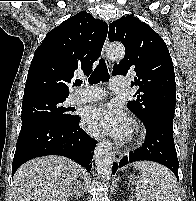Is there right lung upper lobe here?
I'll return each instance as SVG.
<instances>
[{
	"instance_id": "cb5924a9",
	"label": "right lung upper lobe",
	"mask_w": 196,
	"mask_h": 201,
	"mask_svg": "<svg viewBox=\"0 0 196 201\" xmlns=\"http://www.w3.org/2000/svg\"><path fill=\"white\" fill-rule=\"evenodd\" d=\"M108 33V25L82 11L51 30L36 49L25 84L24 98L68 96L78 72L91 73Z\"/></svg>"
}]
</instances>
